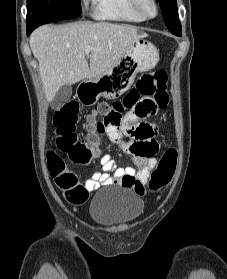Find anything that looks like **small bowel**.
<instances>
[{"label": "small bowel", "mask_w": 227, "mask_h": 279, "mask_svg": "<svg viewBox=\"0 0 227 279\" xmlns=\"http://www.w3.org/2000/svg\"><path fill=\"white\" fill-rule=\"evenodd\" d=\"M138 125H148L154 129V135L149 139L152 143L158 146V141L156 140V136L158 134L157 127L148 122L138 123L133 117L126 119L122 124V130H126L127 128H131L133 126ZM108 124L104 125V131L98 136H108L111 141H113L118 148L131 155L132 160L138 166V169H135L130 166L126 167H117L113 158L109 154H104L100 158V164L102 165L101 171H96L89 177L85 183L83 189L79 192L77 199L75 200L78 204L85 203L88 198L90 192L98 189L101 186L105 185H113V184H123L124 181L128 178H137L141 181L143 191L145 190V185L148 183L150 178V173L152 169L156 166V158L155 156L151 158H142L134 155L131 152L129 145L124 144L118 138V134L112 133L108 129ZM58 182L57 178L54 179Z\"/></svg>", "instance_id": "small-bowel-1"}]
</instances>
